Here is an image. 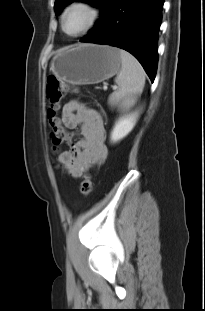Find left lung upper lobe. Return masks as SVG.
Segmentation results:
<instances>
[{
    "label": "left lung upper lobe",
    "mask_w": 205,
    "mask_h": 311,
    "mask_svg": "<svg viewBox=\"0 0 205 311\" xmlns=\"http://www.w3.org/2000/svg\"><path fill=\"white\" fill-rule=\"evenodd\" d=\"M73 1H75V0H55L54 9H55L56 15H58V13L61 12L62 8L65 5H67L68 3H71ZM78 1L88 2V3L92 4L93 6L100 8L102 10L101 11L102 18L100 19V21L109 13L111 6H112V3L114 2V0H78ZM99 22H97V24Z\"/></svg>",
    "instance_id": "left-lung-upper-lobe-1"
}]
</instances>
